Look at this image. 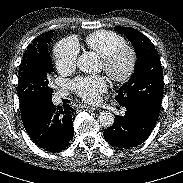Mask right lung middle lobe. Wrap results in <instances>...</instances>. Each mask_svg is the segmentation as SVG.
Here are the masks:
<instances>
[{"label":"right lung middle lobe","mask_w":183,"mask_h":183,"mask_svg":"<svg viewBox=\"0 0 183 183\" xmlns=\"http://www.w3.org/2000/svg\"><path fill=\"white\" fill-rule=\"evenodd\" d=\"M47 38L39 51L19 67L18 95L20 108L32 101L52 98L53 89L49 86V76L52 71V62L48 53Z\"/></svg>","instance_id":"right-lung-middle-lobe-1"}]
</instances>
